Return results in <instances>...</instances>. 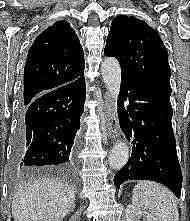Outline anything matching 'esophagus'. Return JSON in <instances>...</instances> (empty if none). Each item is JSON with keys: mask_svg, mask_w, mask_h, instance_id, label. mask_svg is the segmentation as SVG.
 I'll list each match as a JSON object with an SVG mask.
<instances>
[{"mask_svg": "<svg viewBox=\"0 0 190 221\" xmlns=\"http://www.w3.org/2000/svg\"><path fill=\"white\" fill-rule=\"evenodd\" d=\"M104 118L108 136L115 139L118 133V122L112 98L108 93L105 95Z\"/></svg>", "mask_w": 190, "mask_h": 221, "instance_id": "obj_1", "label": "esophagus"}]
</instances>
